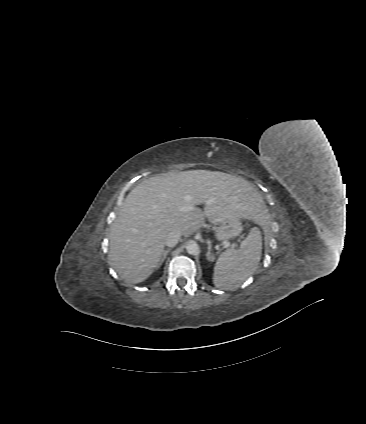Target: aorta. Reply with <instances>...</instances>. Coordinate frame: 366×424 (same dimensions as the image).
I'll return each mask as SVG.
<instances>
[{
  "instance_id": "aorta-1",
  "label": "aorta",
  "mask_w": 366,
  "mask_h": 424,
  "mask_svg": "<svg viewBox=\"0 0 366 424\" xmlns=\"http://www.w3.org/2000/svg\"><path fill=\"white\" fill-rule=\"evenodd\" d=\"M186 251L190 255H197L199 254V246L196 242L191 241L187 244Z\"/></svg>"
}]
</instances>
